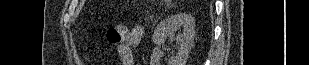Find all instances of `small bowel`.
I'll return each mask as SVG.
<instances>
[{
  "label": "small bowel",
  "mask_w": 309,
  "mask_h": 65,
  "mask_svg": "<svg viewBox=\"0 0 309 65\" xmlns=\"http://www.w3.org/2000/svg\"><path fill=\"white\" fill-rule=\"evenodd\" d=\"M143 27L135 26L127 31L124 39L116 46V51L123 65H135L134 49L139 45L143 37Z\"/></svg>",
  "instance_id": "c3829d8e"
}]
</instances>
